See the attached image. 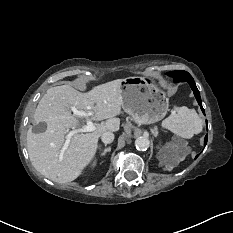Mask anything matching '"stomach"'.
Instances as JSON below:
<instances>
[{"label": "stomach", "instance_id": "stomach-1", "mask_svg": "<svg viewBox=\"0 0 233 233\" xmlns=\"http://www.w3.org/2000/svg\"><path fill=\"white\" fill-rule=\"evenodd\" d=\"M122 108L138 124L161 120L168 111V101L163 89L150 77L130 76L122 79Z\"/></svg>", "mask_w": 233, "mask_h": 233}]
</instances>
